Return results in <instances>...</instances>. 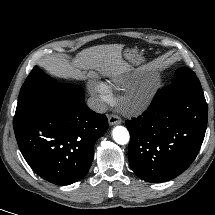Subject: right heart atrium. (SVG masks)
<instances>
[{
  "mask_svg": "<svg viewBox=\"0 0 215 215\" xmlns=\"http://www.w3.org/2000/svg\"><path fill=\"white\" fill-rule=\"evenodd\" d=\"M92 92L103 103L112 101V95L107 85L101 82H93L90 84Z\"/></svg>",
  "mask_w": 215,
  "mask_h": 215,
  "instance_id": "right-heart-atrium-1",
  "label": "right heart atrium"
}]
</instances>
